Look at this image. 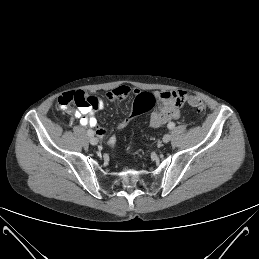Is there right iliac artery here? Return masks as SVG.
Listing matches in <instances>:
<instances>
[{
    "label": "right iliac artery",
    "instance_id": "82829eb1",
    "mask_svg": "<svg viewBox=\"0 0 259 259\" xmlns=\"http://www.w3.org/2000/svg\"><path fill=\"white\" fill-rule=\"evenodd\" d=\"M87 134H88L89 136H94L93 130H90V129L87 131Z\"/></svg>",
    "mask_w": 259,
    "mask_h": 259
}]
</instances>
